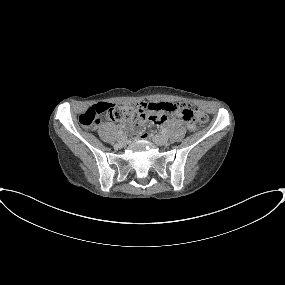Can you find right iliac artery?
Wrapping results in <instances>:
<instances>
[{
  "label": "right iliac artery",
  "instance_id": "1",
  "mask_svg": "<svg viewBox=\"0 0 285 285\" xmlns=\"http://www.w3.org/2000/svg\"><path fill=\"white\" fill-rule=\"evenodd\" d=\"M123 133H124L123 130H119V131H118V134H119L120 136H122Z\"/></svg>",
  "mask_w": 285,
  "mask_h": 285
}]
</instances>
